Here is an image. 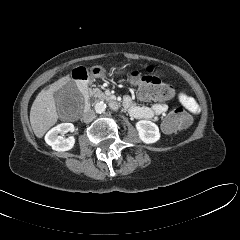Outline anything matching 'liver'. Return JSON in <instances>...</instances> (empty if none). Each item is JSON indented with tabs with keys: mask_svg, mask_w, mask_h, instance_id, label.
<instances>
[{
	"mask_svg": "<svg viewBox=\"0 0 240 240\" xmlns=\"http://www.w3.org/2000/svg\"><path fill=\"white\" fill-rule=\"evenodd\" d=\"M70 81L69 75L62 77L37 95L30 110V123L36 137L42 138L57 122L58 115L53 94Z\"/></svg>",
	"mask_w": 240,
	"mask_h": 240,
	"instance_id": "obj_1",
	"label": "liver"
}]
</instances>
